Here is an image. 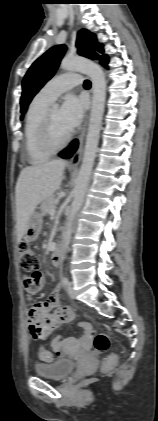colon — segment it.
<instances>
[{"mask_svg":"<svg viewBox=\"0 0 158 421\" xmlns=\"http://www.w3.org/2000/svg\"><path fill=\"white\" fill-rule=\"evenodd\" d=\"M20 267L24 272V287L28 292H35L40 287L38 268L39 259L34 250L25 241H22L18 246ZM93 347L98 352H103L110 347L111 341L107 334L97 333L93 331ZM38 357L43 362H52L54 360V354L41 347L38 350ZM117 363V356L114 354L109 355L103 363L104 369H110Z\"/></svg>","mask_w":158,"mask_h":421,"instance_id":"5ec220e1","label":"colon"}]
</instances>
